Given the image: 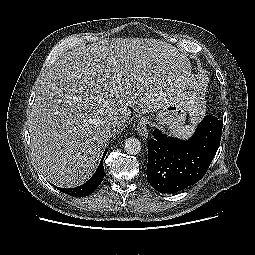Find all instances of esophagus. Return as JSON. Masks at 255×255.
<instances>
[{
	"label": "esophagus",
	"mask_w": 255,
	"mask_h": 255,
	"mask_svg": "<svg viewBox=\"0 0 255 255\" xmlns=\"http://www.w3.org/2000/svg\"><path fill=\"white\" fill-rule=\"evenodd\" d=\"M147 124H148V119L147 118H142L137 125V131L138 133L144 137H148V129H147Z\"/></svg>",
	"instance_id": "obj_1"
}]
</instances>
